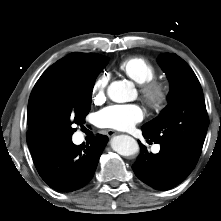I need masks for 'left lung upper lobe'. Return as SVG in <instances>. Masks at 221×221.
Segmentation results:
<instances>
[{
  "label": "left lung upper lobe",
  "mask_w": 221,
  "mask_h": 221,
  "mask_svg": "<svg viewBox=\"0 0 221 221\" xmlns=\"http://www.w3.org/2000/svg\"><path fill=\"white\" fill-rule=\"evenodd\" d=\"M158 62L170 81L169 103L142 129L153 142L177 146L199 158L209 124L201 85L176 54L164 53Z\"/></svg>",
  "instance_id": "5c2ea615"
}]
</instances>
